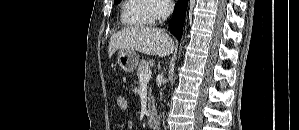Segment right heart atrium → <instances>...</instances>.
I'll list each match as a JSON object with an SVG mask.
<instances>
[{
	"label": "right heart atrium",
	"instance_id": "d8ad5b80",
	"mask_svg": "<svg viewBox=\"0 0 299 130\" xmlns=\"http://www.w3.org/2000/svg\"><path fill=\"white\" fill-rule=\"evenodd\" d=\"M154 5L153 17L156 20H162L165 18L172 10L173 5L171 1L168 0H150Z\"/></svg>",
	"mask_w": 299,
	"mask_h": 130
}]
</instances>
